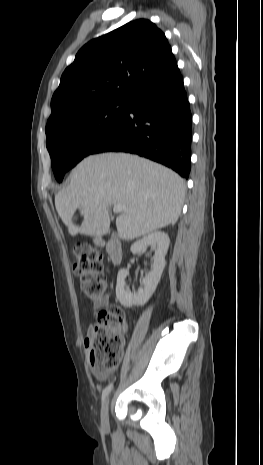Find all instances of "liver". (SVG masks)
Here are the masks:
<instances>
[{"label":"liver","mask_w":263,"mask_h":465,"mask_svg":"<svg viewBox=\"0 0 263 465\" xmlns=\"http://www.w3.org/2000/svg\"><path fill=\"white\" fill-rule=\"evenodd\" d=\"M186 194L183 179L172 170L136 155L103 153L83 159L69 185L55 196V207L71 236L101 237L109 231V206L125 207L116 218L118 236L133 240L174 225ZM79 209L84 220L73 223Z\"/></svg>","instance_id":"obj_1"}]
</instances>
